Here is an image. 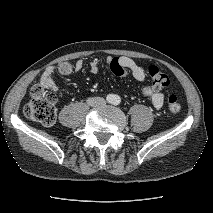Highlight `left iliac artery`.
I'll return each mask as SVG.
<instances>
[{
  "instance_id": "left-iliac-artery-1",
  "label": "left iliac artery",
  "mask_w": 213,
  "mask_h": 213,
  "mask_svg": "<svg viewBox=\"0 0 213 213\" xmlns=\"http://www.w3.org/2000/svg\"><path fill=\"white\" fill-rule=\"evenodd\" d=\"M115 105H118L120 103V98L119 97H116L114 99V102H113Z\"/></svg>"
}]
</instances>
